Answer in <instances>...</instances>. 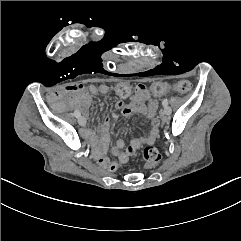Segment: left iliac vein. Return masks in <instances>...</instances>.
<instances>
[{"mask_svg":"<svg viewBox=\"0 0 241 241\" xmlns=\"http://www.w3.org/2000/svg\"><path fill=\"white\" fill-rule=\"evenodd\" d=\"M170 113H171L170 107L165 106L164 109L161 112V115H162L163 118H165V117L169 116Z\"/></svg>","mask_w":241,"mask_h":241,"instance_id":"1","label":"left iliac vein"}]
</instances>
